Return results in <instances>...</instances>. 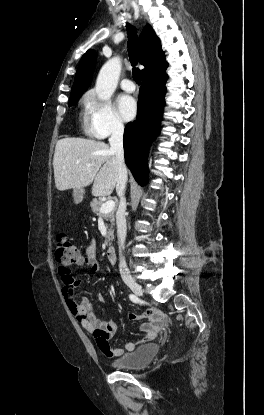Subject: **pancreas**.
<instances>
[{"mask_svg":"<svg viewBox=\"0 0 264 415\" xmlns=\"http://www.w3.org/2000/svg\"><path fill=\"white\" fill-rule=\"evenodd\" d=\"M104 203L101 200H97V199H93L92 202L90 203L92 212L95 213L97 216L100 215V208ZM103 218L105 221L110 222V226L107 227V236L105 239V245L106 246H110L111 245V241L113 240V236H114V230H113V226H114V210H112L109 213H105L102 214Z\"/></svg>","mask_w":264,"mask_h":415,"instance_id":"pancreas-1","label":"pancreas"}]
</instances>
